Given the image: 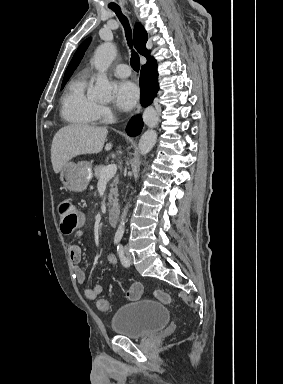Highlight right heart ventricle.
Listing matches in <instances>:
<instances>
[{
    "instance_id": "right-heart-ventricle-1",
    "label": "right heart ventricle",
    "mask_w": 283,
    "mask_h": 384,
    "mask_svg": "<svg viewBox=\"0 0 283 384\" xmlns=\"http://www.w3.org/2000/svg\"><path fill=\"white\" fill-rule=\"evenodd\" d=\"M87 76L74 75L67 83L60 100V114L72 127L88 128L100 120V104L87 91Z\"/></svg>"
}]
</instances>
